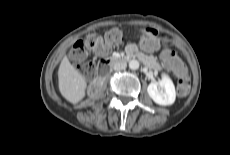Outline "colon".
Instances as JSON below:
<instances>
[{
	"instance_id": "5ec220e1",
	"label": "colon",
	"mask_w": 230,
	"mask_h": 155,
	"mask_svg": "<svg viewBox=\"0 0 230 155\" xmlns=\"http://www.w3.org/2000/svg\"><path fill=\"white\" fill-rule=\"evenodd\" d=\"M146 38H155L159 44L162 43L160 34L155 31H149ZM123 32L120 28L110 29L105 34V42L113 47H119L123 43ZM103 40L98 34H90L82 40L75 43L71 50V56L77 61L79 70L92 76L94 74V64L86 60L88 50L100 51L103 48ZM190 88V81L187 76L186 70L182 67L179 72V79L177 83V91L180 96H185Z\"/></svg>"
}]
</instances>
